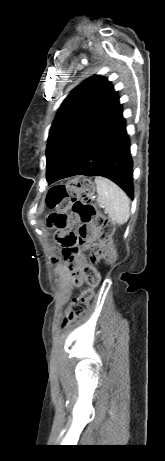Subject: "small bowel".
I'll return each mask as SVG.
<instances>
[{
	"label": "small bowel",
	"instance_id": "1",
	"mask_svg": "<svg viewBox=\"0 0 165 461\" xmlns=\"http://www.w3.org/2000/svg\"><path fill=\"white\" fill-rule=\"evenodd\" d=\"M97 239L96 225H73V229H57L52 233V241H56V249L60 251V264L56 267L58 281L62 286L61 299L64 301L68 289L80 286L84 275L81 267L85 266L86 259L80 255L86 244L91 246Z\"/></svg>",
	"mask_w": 165,
	"mask_h": 461
}]
</instances>
